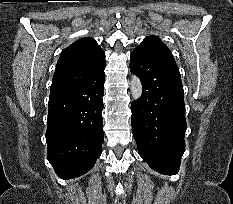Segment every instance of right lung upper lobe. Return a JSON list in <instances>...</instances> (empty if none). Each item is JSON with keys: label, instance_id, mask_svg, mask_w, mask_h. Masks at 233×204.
<instances>
[{"label": "right lung upper lobe", "instance_id": "right-lung-upper-lobe-1", "mask_svg": "<svg viewBox=\"0 0 233 204\" xmlns=\"http://www.w3.org/2000/svg\"><path fill=\"white\" fill-rule=\"evenodd\" d=\"M104 67L105 52L97 42L89 37L79 39L62 51L50 94L86 83Z\"/></svg>", "mask_w": 233, "mask_h": 204}]
</instances>
